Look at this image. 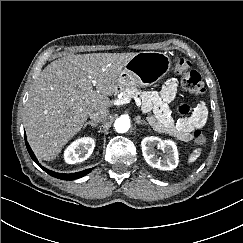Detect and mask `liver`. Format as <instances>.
<instances>
[{
	"label": "liver",
	"instance_id": "obj_1",
	"mask_svg": "<svg viewBox=\"0 0 243 243\" xmlns=\"http://www.w3.org/2000/svg\"><path fill=\"white\" fill-rule=\"evenodd\" d=\"M134 55H68L43 69L25 106L27 138L39 158L55 159L82 129L90 111L112 106L109 96L117 92L119 75Z\"/></svg>",
	"mask_w": 243,
	"mask_h": 243
}]
</instances>
